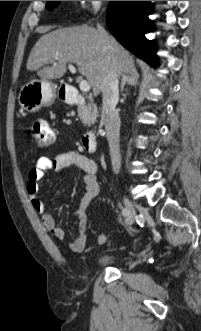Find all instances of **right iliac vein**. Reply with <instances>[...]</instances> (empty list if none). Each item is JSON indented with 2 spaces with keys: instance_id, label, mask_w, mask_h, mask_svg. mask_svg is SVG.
Wrapping results in <instances>:
<instances>
[{
  "instance_id": "63e3f726",
  "label": "right iliac vein",
  "mask_w": 201,
  "mask_h": 331,
  "mask_svg": "<svg viewBox=\"0 0 201 331\" xmlns=\"http://www.w3.org/2000/svg\"><path fill=\"white\" fill-rule=\"evenodd\" d=\"M124 204L128 211L126 215V224L130 226L134 223L135 220V215H136L135 207L133 203L127 198H124Z\"/></svg>"
}]
</instances>
